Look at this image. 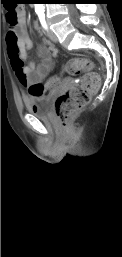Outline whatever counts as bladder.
I'll list each match as a JSON object with an SVG mask.
<instances>
[{"mask_svg":"<svg viewBox=\"0 0 122 257\" xmlns=\"http://www.w3.org/2000/svg\"><path fill=\"white\" fill-rule=\"evenodd\" d=\"M25 107L31 114L46 118L51 112V97L48 95L32 96L25 100Z\"/></svg>","mask_w":122,"mask_h":257,"instance_id":"1","label":"bladder"}]
</instances>
